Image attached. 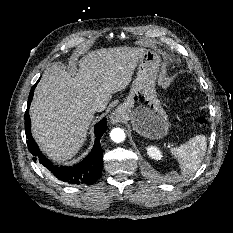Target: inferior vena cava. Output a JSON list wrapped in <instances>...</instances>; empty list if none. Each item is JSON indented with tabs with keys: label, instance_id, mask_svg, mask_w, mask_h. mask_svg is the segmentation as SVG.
Segmentation results:
<instances>
[{
	"label": "inferior vena cava",
	"instance_id": "602c4592",
	"mask_svg": "<svg viewBox=\"0 0 233 233\" xmlns=\"http://www.w3.org/2000/svg\"><path fill=\"white\" fill-rule=\"evenodd\" d=\"M92 111H93V113H95V114H96V113H98L99 108H98V107H94Z\"/></svg>",
	"mask_w": 233,
	"mask_h": 233
}]
</instances>
